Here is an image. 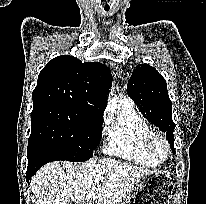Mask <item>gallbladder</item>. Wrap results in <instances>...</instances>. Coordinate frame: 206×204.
Instances as JSON below:
<instances>
[{"instance_id": "bac80fb5", "label": "gallbladder", "mask_w": 206, "mask_h": 204, "mask_svg": "<svg viewBox=\"0 0 206 204\" xmlns=\"http://www.w3.org/2000/svg\"><path fill=\"white\" fill-rule=\"evenodd\" d=\"M67 204H73V202H72L71 200H69V201L67 202Z\"/></svg>"}]
</instances>
